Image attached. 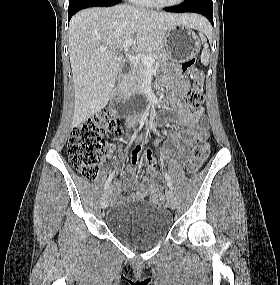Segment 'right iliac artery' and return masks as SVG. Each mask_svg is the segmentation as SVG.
I'll return each instance as SVG.
<instances>
[{"label":"right iliac artery","mask_w":280,"mask_h":285,"mask_svg":"<svg viewBox=\"0 0 280 285\" xmlns=\"http://www.w3.org/2000/svg\"><path fill=\"white\" fill-rule=\"evenodd\" d=\"M137 133H138V130H136V131L132 134L131 139H130V144L135 140V138H136V136H137ZM114 173H115V171L112 172V173L109 175L108 179L106 180L105 187H104L105 189H107V188L109 187V185H110V183H111V181H112V179H113Z\"/></svg>","instance_id":"obj_1"}]
</instances>
